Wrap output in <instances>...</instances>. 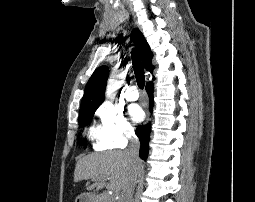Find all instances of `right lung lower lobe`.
Here are the masks:
<instances>
[{"label":"right lung lower lobe","mask_w":255,"mask_h":202,"mask_svg":"<svg viewBox=\"0 0 255 202\" xmlns=\"http://www.w3.org/2000/svg\"><path fill=\"white\" fill-rule=\"evenodd\" d=\"M146 91L149 95V100H150L149 109L150 111H152L153 103H154L152 82H149L146 85ZM135 133L139 137L140 144H141L139 156L141 159L146 160L148 156V150H149L148 142L150 139V124H147L145 126H138Z\"/></svg>","instance_id":"1"}]
</instances>
